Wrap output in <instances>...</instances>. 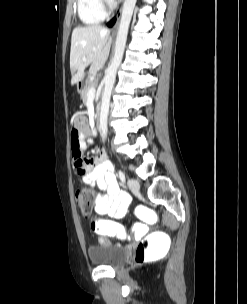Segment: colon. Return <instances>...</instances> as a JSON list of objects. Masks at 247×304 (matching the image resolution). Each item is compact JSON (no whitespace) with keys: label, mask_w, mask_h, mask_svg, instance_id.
<instances>
[{"label":"colon","mask_w":247,"mask_h":304,"mask_svg":"<svg viewBox=\"0 0 247 304\" xmlns=\"http://www.w3.org/2000/svg\"><path fill=\"white\" fill-rule=\"evenodd\" d=\"M72 120L82 121V119ZM93 197V192L87 188H79L77 190L75 199L83 214L88 215L90 213ZM136 208V217H140V221H143V224H135L133 227L132 236L134 238H143L136 248V261L165 259L168 248H170V244L173 242L172 237H169L166 229H153V233H147V225H160V216L157 210H150L147 202H137ZM90 227L94 232L100 233L101 238H119L121 236L119 231H114V226L111 223L103 222L97 218L91 219ZM146 234L147 236H145ZM128 245L136 246L137 240L129 239Z\"/></svg>","instance_id":"colon-1"}]
</instances>
